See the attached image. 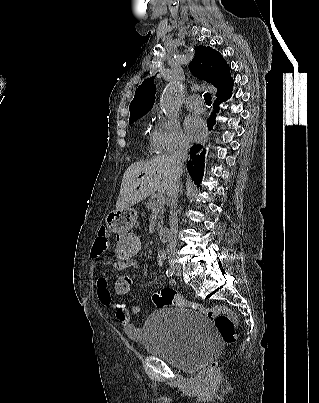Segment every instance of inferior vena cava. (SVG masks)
<instances>
[{
	"instance_id": "602c4592",
	"label": "inferior vena cava",
	"mask_w": 319,
	"mask_h": 403,
	"mask_svg": "<svg viewBox=\"0 0 319 403\" xmlns=\"http://www.w3.org/2000/svg\"><path fill=\"white\" fill-rule=\"evenodd\" d=\"M189 143L186 140L179 139L171 154V160L175 169L174 181L171 189L169 190V196L171 197V210H170V234L168 237L167 249L173 250L176 247L177 242V206H178V193L180 189V176L182 173L183 163L188 158Z\"/></svg>"
}]
</instances>
